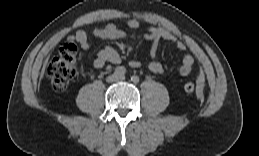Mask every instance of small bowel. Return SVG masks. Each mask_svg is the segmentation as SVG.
<instances>
[{
    "instance_id": "c3829d8e",
    "label": "small bowel",
    "mask_w": 259,
    "mask_h": 156,
    "mask_svg": "<svg viewBox=\"0 0 259 156\" xmlns=\"http://www.w3.org/2000/svg\"><path fill=\"white\" fill-rule=\"evenodd\" d=\"M127 26L129 29L135 30L139 28L140 23L136 19H129L127 21ZM91 34L99 39L126 40L128 42H131L127 33L118 25L113 23L107 24L101 28H94L91 31ZM144 37L151 44L150 55L152 61L148 63L147 68L154 74H161L164 72V66L162 65V63L156 60L158 46L161 41L176 42V46L179 50H185L186 48L184 42L177 41L175 35L163 27L150 26L147 29ZM67 40L68 43L79 44L80 47L84 50H87L89 48L88 33L84 30H78L74 35L68 36ZM120 62L121 57L118 51L111 46H105L98 52L97 57L93 62V65L95 68H102L107 63L119 64ZM129 65L132 68H138L141 66V62L137 60H132ZM193 68V56L191 54L184 55L182 59V64L179 68L180 74L182 76H187L192 72Z\"/></svg>"
}]
</instances>
